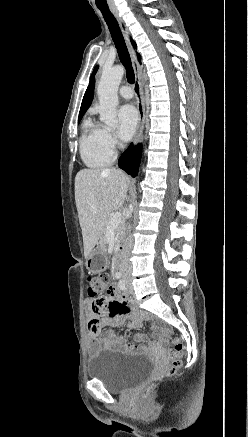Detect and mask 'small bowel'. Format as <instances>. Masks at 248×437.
<instances>
[{"mask_svg":"<svg viewBox=\"0 0 248 437\" xmlns=\"http://www.w3.org/2000/svg\"><path fill=\"white\" fill-rule=\"evenodd\" d=\"M84 304L88 310V353L97 354L102 348L120 350L123 352L154 351L164 342L163 328L155 324L157 341L148 340L145 335H135V343H129L123 336L112 331L102 332V323L116 325L128 312L131 300L127 295L119 296L114 288H109L107 295L88 294Z\"/></svg>","mask_w":248,"mask_h":437,"instance_id":"obj_1","label":"small bowel"}]
</instances>
